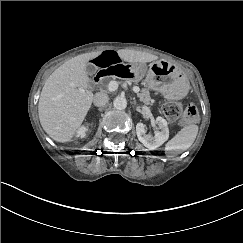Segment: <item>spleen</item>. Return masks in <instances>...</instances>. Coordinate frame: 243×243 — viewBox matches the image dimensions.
Listing matches in <instances>:
<instances>
[{"instance_id":"spleen-1","label":"spleen","mask_w":243,"mask_h":243,"mask_svg":"<svg viewBox=\"0 0 243 243\" xmlns=\"http://www.w3.org/2000/svg\"><path fill=\"white\" fill-rule=\"evenodd\" d=\"M198 131L199 126L196 124L183 127L171 140L167 142L165 151L167 153L173 151H186L195 142Z\"/></svg>"}]
</instances>
